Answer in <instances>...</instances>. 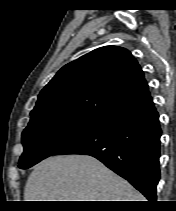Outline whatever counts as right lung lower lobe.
<instances>
[{
	"label": "right lung lower lobe",
	"mask_w": 176,
	"mask_h": 211,
	"mask_svg": "<svg viewBox=\"0 0 176 211\" xmlns=\"http://www.w3.org/2000/svg\"><path fill=\"white\" fill-rule=\"evenodd\" d=\"M160 137L159 115L150 100L103 118L53 155H91L155 202L160 178Z\"/></svg>",
	"instance_id": "right-lung-lower-lobe-1"
}]
</instances>
